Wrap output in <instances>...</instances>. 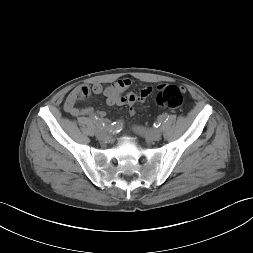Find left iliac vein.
<instances>
[{
  "label": "left iliac vein",
  "instance_id": "1",
  "mask_svg": "<svg viewBox=\"0 0 253 253\" xmlns=\"http://www.w3.org/2000/svg\"><path fill=\"white\" fill-rule=\"evenodd\" d=\"M134 131L137 134L145 137L149 141H159L162 137V133L158 129L154 130V131H150V130L144 129L143 127L135 126Z\"/></svg>",
  "mask_w": 253,
  "mask_h": 253
}]
</instances>
